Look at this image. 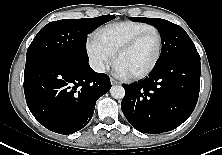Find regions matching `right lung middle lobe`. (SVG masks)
Listing matches in <instances>:
<instances>
[{
	"mask_svg": "<svg viewBox=\"0 0 222 155\" xmlns=\"http://www.w3.org/2000/svg\"><path fill=\"white\" fill-rule=\"evenodd\" d=\"M114 18V15H103L48 23L38 32L27 50L25 70L49 61H89L87 35Z\"/></svg>",
	"mask_w": 222,
	"mask_h": 155,
	"instance_id": "obj_1",
	"label": "right lung middle lobe"
}]
</instances>
